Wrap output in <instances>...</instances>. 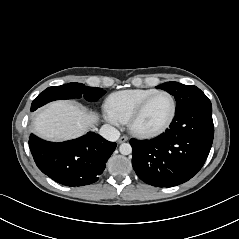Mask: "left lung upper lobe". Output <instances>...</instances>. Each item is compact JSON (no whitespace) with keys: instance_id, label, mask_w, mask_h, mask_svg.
<instances>
[{"instance_id":"1","label":"left lung upper lobe","mask_w":239,"mask_h":239,"mask_svg":"<svg viewBox=\"0 0 239 239\" xmlns=\"http://www.w3.org/2000/svg\"><path fill=\"white\" fill-rule=\"evenodd\" d=\"M173 95L176 99V112L192 105L208 101L205 94L194 85H184L178 82H167L157 86Z\"/></svg>"}]
</instances>
